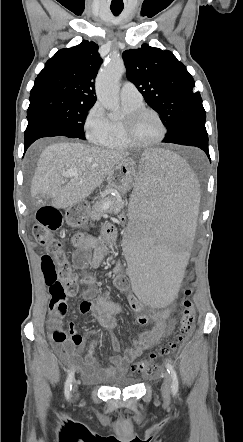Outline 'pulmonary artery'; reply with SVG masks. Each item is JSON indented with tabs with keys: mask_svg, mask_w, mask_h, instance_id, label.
Here are the masks:
<instances>
[{
	"mask_svg": "<svg viewBox=\"0 0 243 442\" xmlns=\"http://www.w3.org/2000/svg\"><path fill=\"white\" fill-rule=\"evenodd\" d=\"M120 97L122 101L129 103H141L143 102V97L137 87L131 82H125L122 85L120 91Z\"/></svg>",
	"mask_w": 243,
	"mask_h": 442,
	"instance_id": "e3ab8cb5",
	"label": "pulmonary artery"
}]
</instances>
